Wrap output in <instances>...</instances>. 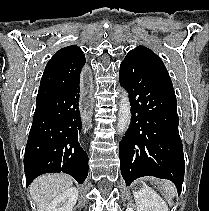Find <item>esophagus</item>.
I'll return each mask as SVG.
<instances>
[{"instance_id":"34e87169","label":"esophagus","mask_w":209,"mask_h":211,"mask_svg":"<svg viewBox=\"0 0 209 211\" xmlns=\"http://www.w3.org/2000/svg\"><path fill=\"white\" fill-rule=\"evenodd\" d=\"M83 81L81 82L82 91H93L92 82H89L90 78L84 77ZM81 97L78 101L79 109H84V112H81V117H84V120H91L92 112H87V109H92L91 93H82Z\"/></svg>"}]
</instances>
